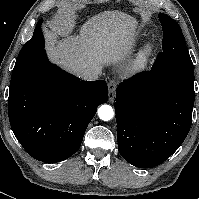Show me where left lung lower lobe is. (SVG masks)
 Returning a JSON list of instances; mask_svg holds the SVG:
<instances>
[{
	"label": "left lung lower lobe",
	"mask_w": 199,
	"mask_h": 199,
	"mask_svg": "<svg viewBox=\"0 0 199 199\" xmlns=\"http://www.w3.org/2000/svg\"><path fill=\"white\" fill-rule=\"evenodd\" d=\"M194 73L154 69L124 80L114 104L118 149L139 168L155 167L183 143L192 123Z\"/></svg>",
	"instance_id": "left-lung-lower-lobe-1"
}]
</instances>
